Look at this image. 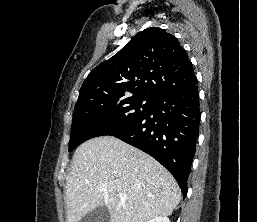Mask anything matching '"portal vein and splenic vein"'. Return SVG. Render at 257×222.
Returning a JSON list of instances; mask_svg holds the SVG:
<instances>
[{"label": "portal vein and splenic vein", "instance_id": "18ae733b", "mask_svg": "<svg viewBox=\"0 0 257 222\" xmlns=\"http://www.w3.org/2000/svg\"><path fill=\"white\" fill-rule=\"evenodd\" d=\"M119 198H120L121 201H125V200L128 199V196L126 194H124V193H120L119 194Z\"/></svg>", "mask_w": 257, "mask_h": 222}]
</instances>
